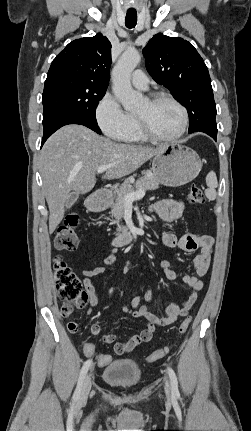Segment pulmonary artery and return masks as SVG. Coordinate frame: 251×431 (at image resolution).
<instances>
[{"instance_id": "obj_1", "label": "pulmonary artery", "mask_w": 251, "mask_h": 431, "mask_svg": "<svg viewBox=\"0 0 251 431\" xmlns=\"http://www.w3.org/2000/svg\"><path fill=\"white\" fill-rule=\"evenodd\" d=\"M131 82L134 87L146 90L148 88L149 79L141 70H136L132 74Z\"/></svg>"}]
</instances>
